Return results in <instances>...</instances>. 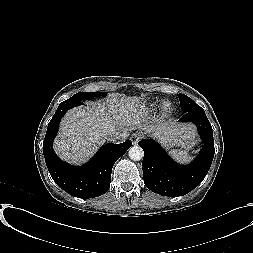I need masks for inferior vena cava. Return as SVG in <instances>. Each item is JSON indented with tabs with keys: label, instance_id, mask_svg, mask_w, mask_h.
Instances as JSON below:
<instances>
[{
	"label": "inferior vena cava",
	"instance_id": "obj_1",
	"mask_svg": "<svg viewBox=\"0 0 253 253\" xmlns=\"http://www.w3.org/2000/svg\"><path fill=\"white\" fill-rule=\"evenodd\" d=\"M129 136L128 131L124 130V131H112L108 134V141H125V139Z\"/></svg>",
	"mask_w": 253,
	"mask_h": 253
}]
</instances>
